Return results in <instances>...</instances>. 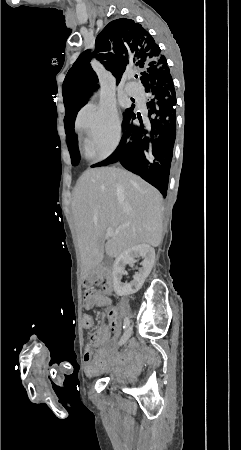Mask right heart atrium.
I'll use <instances>...</instances> for the list:
<instances>
[{"instance_id": "d8ad5b80", "label": "right heart atrium", "mask_w": 241, "mask_h": 450, "mask_svg": "<svg viewBox=\"0 0 241 450\" xmlns=\"http://www.w3.org/2000/svg\"><path fill=\"white\" fill-rule=\"evenodd\" d=\"M85 115L76 123L78 130H86L84 153L96 159L108 157L114 152L113 146L118 144L121 135V123L115 108L95 104Z\"/></svg>"}]
</instances>
